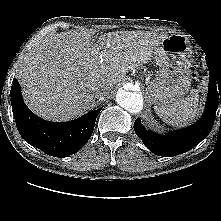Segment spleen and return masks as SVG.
<instances>
[{"mask_svg": "<svg viewBox=\"0 0 221 221\" xmlns=\"http://www.w3.org/2000/svg\"><path fill=\"white\" fill-rule=\"evenodd\" d=\"M157 115L167 124L183 127L193 121L198 114V95L192 93L185 100L162 107H154Z\"/></svg>", "mask_w": 221, "mask_h": 221, "instance_id": "obj_1", "label": "spleen"}]
</instances>
